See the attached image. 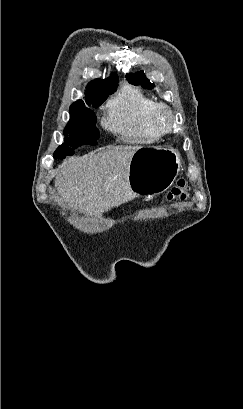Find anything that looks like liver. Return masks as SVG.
<instances>
[{
    "label": "liver",
    "mask_w": 243,
    "mask_h": 409,
    "mask_svg": "<svg viewBox=\"0 0 243 409\" xmlns=\"http://www.w3.org/2000/svg\"><path fill=\"white\" fill-rule=\"evenodd\" d=\"M140 147L115 146L98 153L65 160L57 169L55 187L69 209L100 217L113 207L131 201L129 165Z\"/></svg>",
    "instance_id": "liver-1"
}]
</instances>
